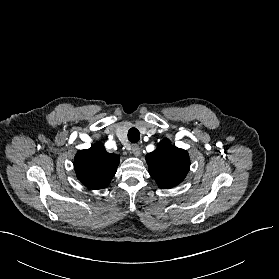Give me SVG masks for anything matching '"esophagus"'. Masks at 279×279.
I'll use <instances>...</instances> for the list:
<instances>
[{
    "label": "esophagus",
    "instance_id": "esophagus-1",
    "mask_svg": "<svg viewBox=\"0 0 279 279\" xmlns=\"http://www.w3.org/2000/svg\"><path fill=\"white\" fill-rule=\"evenodd\" d=\"M131 152L135 155V156H140L141 155V148L138 144H132L131 146Z\"/></svg>",
    "mask_w": 279,
    "mask_h": 279
}]
</instances>
